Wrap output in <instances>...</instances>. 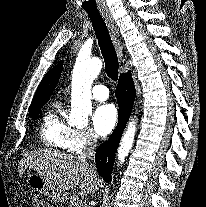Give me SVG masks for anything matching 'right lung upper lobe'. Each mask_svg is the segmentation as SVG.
<instances>
[{"mask_svg":"<svg viewBox=\"0 0 206 207\" xmlns=\"http://www.w3.org/2000/svg\"><path fill=\"white\" fill-rule=\"evenodd\" d=\"M63 61L51 69L39 84L30 109L44 105L50 98L61 76Z\"/></svg>","mask_w":206,"mask_h":207,"instance_id":"right-lung-upper-lobe-1","label":"right lung upper lobe"}]
</instances>
